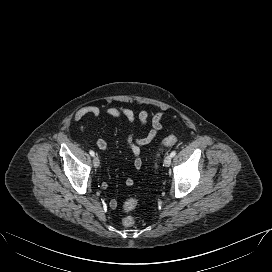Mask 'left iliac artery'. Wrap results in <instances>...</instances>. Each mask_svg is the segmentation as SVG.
<instances>
[{"mask_svg": "<svg viewBox=\"0 0 272 272\" xmlns=\"http://www.w3.org/2000/svg\"><path fill=\"white\" fill-rule=\"evenodd\" d=\"M175 155H176V151L175 150L170 153L171 157H174Z\"/></svg>", "mask_w": 272, "mask_h": 272, "instance_id": "left-iliac-artery-1", "label": "left iliac artery"}]
</instances>
